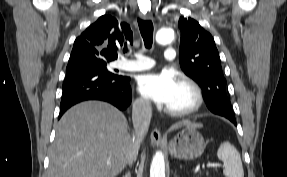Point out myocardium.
Masks as SVG:
<instances>
[{"mask_svg": "<svg viewBox=\"0 0 287 177\" xmlns=\"http://www.w3.org/2000/svg\"><path fill=\"white\" fill-rule=\"evenodd\" d=\"M178 83L189 91L191 96V103L188 106L182 108L166 107L165 112L171 116H186L199 110L204 102V96L200 86L188 77L180 78Z\"/></svg>", "mask_w": 287, "mask_h": 177, "instance_id": "1", "label": "myocardium"}]
</instances>
